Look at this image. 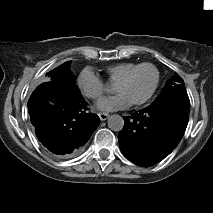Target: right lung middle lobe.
Listing matches in <instances>:
<instances>
[{
    "instance_id": "dd1d6c3e",
    "label": "right lung middle lobe",
    "mask_w": 213,
    "mask_h": 213,
    "mask_svg": "<svg viewBox=\"0 0 213 213\" xmlns=\"http://www.w3.org/2000/svg\"><path fill=\"white\" fill-rule=\"evenodd\" d=\"M71 61L65 62L62 65L58 66L54 70L47 73V81H55L62 83L74 90L79 91L75 84V76L72 74V72L69 70V64Z\"/></svg>"
}]
</instances>
